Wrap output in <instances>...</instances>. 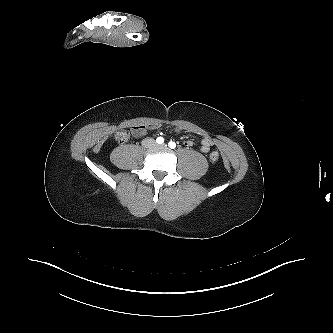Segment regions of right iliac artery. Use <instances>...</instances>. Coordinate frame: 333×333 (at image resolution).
I'll list each match as a JSON object with an SVG mask.
<instances>
[{
	"instance_id": "right-iliac-artery-1",
	"label": "right iliac artery",
	"mask_w": 333,
	"mask_h": 333,
	"mask_svg": "<svg viewBox=\"0 0 333 333\" xmlns=\"http://www.w3.org/2000/svg\"><path fill=\"white\" fill-rule=\"evenodd\" d=\"M156 142H157L158 144H162V143H164V138H163V137H158V138L156 139Z\"/></svg>"
}]
</instances>
